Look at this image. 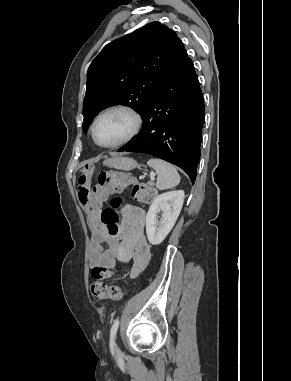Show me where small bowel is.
Segmentation results:
<instances>
[{
  "instance_id": "small-bowel-1",
  "label": "small bowel",
  "mask_w": 291,
  "mask_h": 381,
  "mask_svg": "<svg viewBox=\"0 0 291 381\" xmlns=\"http://www.w3.org/2000/svg\"><path fill=\"white\" fill-rule=\"evenodd\" d=\"M100 213V208L91 210L92 220L97 225L92 239L90 265L114 268L118 260L132 261L131 277H136L146 268L151 258V246L145 236L146 211L135 206L125 209L121 241H117L98 225Z\"/></svg>"
}]
</instances>
